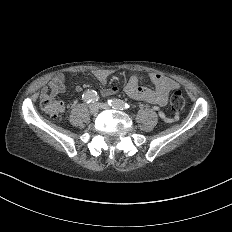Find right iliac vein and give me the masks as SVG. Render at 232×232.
Returning a JSON list of instances; mask_svg holds the SVG:
<instances>
[{"instance_id": "obj_1", "label": "right iliac vein", "mask_w": 232, "mask_h": 232, "mask_svg": "<svg viewBox=\"0 0 232 232\" xmlns=\"http://www.w3.org/2000/svg\"><path fill=\"white\" fill-rule=\"evenodd\" d=\"M100 110V107L98 104L96 103H93V104H90L89 105V111L92 113V114H97Z\"/></svg>"}]
</instances>
